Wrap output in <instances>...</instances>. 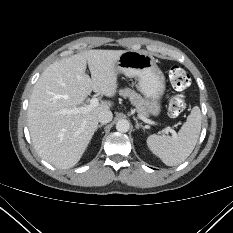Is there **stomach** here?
Returning a JSON list of instances; mask_svg holds the SVG:
<instances>
[{
	"label": "stomach",
	"instance_id": "0dacf381",
	"mask_svg": "<svg viewBox=\"0 0 233 233\" xmlns=\"http://www.w3.org/2000/svg\"><path fill=\"white\" fill-rule=\"evenodd\" d=\"M116 71L138 79V88L148 100V113L158 116L165 92V76L155 59L140 51H125L116 62Z\"/></svg>",
	"mask_w": 233,
	"mask_h": 233
}]
</instances>
